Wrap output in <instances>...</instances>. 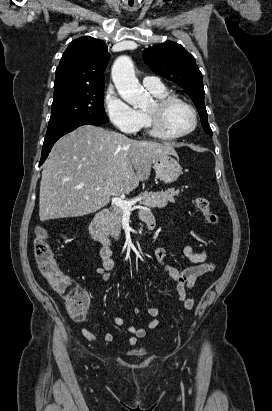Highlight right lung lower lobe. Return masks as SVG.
I'll use <instances>...</instances> for the list:
<instances>
[{"label":"right lung lower lobe","mask_w":272,"mask_h":411,"mask_svg":"<svg viewBox=\"0 0 272 411\" xmlns=\"http://www.w3.org/2000/svg\"><path fill=\"white\" fill-rule=\"evenodd\" d=\"M85 124H90V125H101L103 123L100 122H94V121H90V120H81L75 123H72L70 125H67L66 127H64L63 129L53 132L51 134H46V137L44 139V143H43V148H42V155H41V159H40V163L39 166L42 165L45 161V159L47 158V156L49 155V152L51 151L54 143L63 135L73 131L74 129H76L79 126L85 125Z\"/></svg>","instance_id":"1"}]
</instances>
